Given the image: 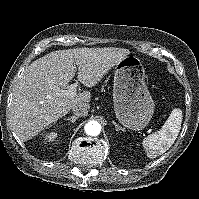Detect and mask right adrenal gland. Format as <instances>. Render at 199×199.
<instances>
[{"instance_id": "2a0ac1e0", "label": "right adrenal gland", "mask_w": 199, "mask_h": 199, "mask_svg": "<svg viewBox=\"0 0 199 199\" xmlns=\"http://www.w3.org/2000/svg\"><path fill=\"white\" fill-rule=\"evenodd\" d=\"M77 119H78V117H76V116H71L69 118H65V120H70L71 123H74Z\"/></svg>"}]
</instances>
